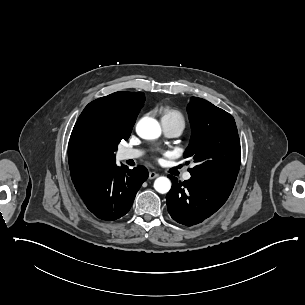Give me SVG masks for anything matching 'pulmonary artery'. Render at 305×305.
Returning <instances> with one entry per match:
<instances>
[{
  "label": "pulmonary artery",
  "instance_id": "1",
  "mask_svg": "<svg viewBox=\"0 0 305 305\" xmlns=\"http://www.w3.org/2000/svg\"><path fill=\"white\" fill-rule=\"evenodd\" d=\"M162 128L164 133L169 137H177L184 130V123L177 120H161ZM143 155V151L137 149H125L121 152V159L123 161L137 159ZM192 175L190 173H185L183 175L184 180H190Z\"/></svg>",
  "mask_w": 305,
  "mask_h": 305
}]
</instances>
